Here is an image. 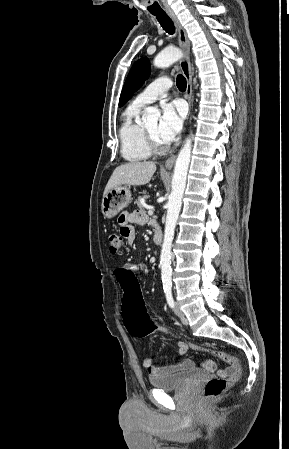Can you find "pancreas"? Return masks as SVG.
<instances>
[{"label":"pancreas","instance_id":"1","mask_svg":"<svg viewBox=\"0 0 289 449\" xmlns=\"http://www.w3.org/2000/svg\"><path fill=\"white\" fill-rule=\"evenodd\" d=\"M147 195H144V196H142V197H139L135 202H134V204L139 208V209H145V206L143 205V203H142V201H144L145 202V200L147 199Z\"/></svg>","mask_w":289,"mask_h":449}]
</instances>
